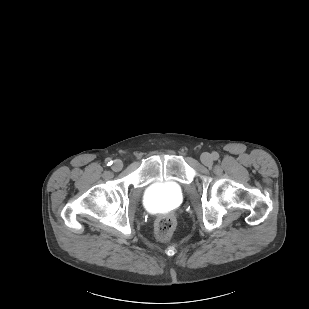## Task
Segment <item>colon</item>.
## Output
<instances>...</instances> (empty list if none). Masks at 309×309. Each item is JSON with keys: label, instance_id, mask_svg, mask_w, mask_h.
Instances as JSON below:
<instances>
[{"label": "colon", "instance_id": "colon-1", "mask_svg": "<svg viewBox=\"0 0 309 309\" xmlns=\"http://www.w3.org/2000/svg\"><path fill=\"white\" fill-rule=\"evenodd\" d=\"M176 227V219L172 215L162 216L155 225V236L159 241H168Z\"/></svg>", "mask_w": 309, "mask_h": 309}]
</instances>
